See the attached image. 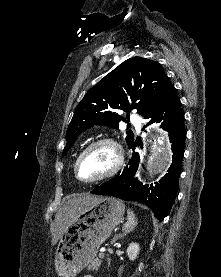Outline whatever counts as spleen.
<instances>
[{"instance_id":"spleen-1","label":"spleen","mask_w":221,"mask_h":277,"mask_svg":"<svg viewBox=\"0 0 221 277\" xmlns=\"http://www.w3.org/2000/svg\"><path fill=\"white\" fill-rule=\"evenodd\" d=\"M127 214H128L127 222L123 227V230L125 231V233L130 232L137 225V220L135 218V214L133 213V211L128 209Z\"/></svg>"}]
</instances>
